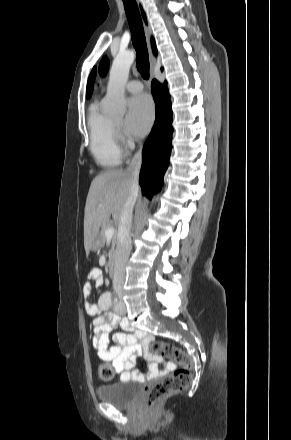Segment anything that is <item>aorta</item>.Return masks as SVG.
Segmentation results:
<instances>
[{
  "label": "aorta",
  "instance_id": "obj_1",
  "mask_svg": "<svg viewBox=\"0 0 291 440\" xmlns=\"http://www.w3.org/2000/svg\"><path fill=\"white\" fill-rule=\"evenodd\" d=\"M135 59L132 51H122L115 57L110 70L107 94L103 109L109 116L120 118L126 112L125 84Z\"/></svg>",
  "mask_w": 291,
  "mask_h": 440
}]
</instances>
